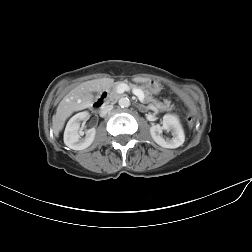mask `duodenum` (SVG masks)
I'll return each instance as SVG.
<instances>
[{
  "label": "duodenum",
  "mask_w": 252,
  "mask_h": 252,
  "mask_svg": "<svg viewBox=\"0 0 252 252\" xmlns=\"http://www.w3.org/2000/svg\"><path fill=\"white\" fill-rule=\"evenodd\" d=\"M109 97V92H103L98 99L94 101L92 104V108L94 111H99L103 108L105 101Z\"/></svg>",
  "instance_id": "1"
}]
</instances>
